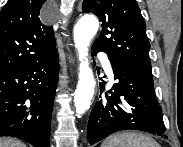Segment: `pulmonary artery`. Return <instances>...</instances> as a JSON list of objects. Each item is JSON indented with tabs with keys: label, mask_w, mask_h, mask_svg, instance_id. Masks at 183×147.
<instances>
[{
	"label": "pulmonary artery",
	"mask_w": 183,
	"mask_h": 147,
	"mask_svg": "<svg viewBox=\"0 0 183 147\" xmlns=\"http://www.w3.org/2000/svg\"><path fill=\"white\" fill-rule=\"evenodd\" d=\"M103 65H104L105 71L111 77L112 76V68H111V64H110L109 60H105Z\"/></svg>",
	"instance_id": "1"
}]
</instances>
